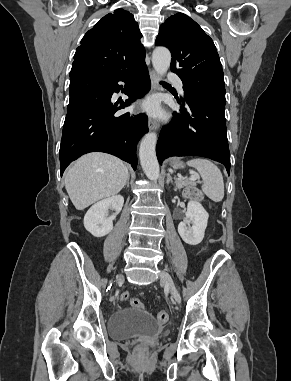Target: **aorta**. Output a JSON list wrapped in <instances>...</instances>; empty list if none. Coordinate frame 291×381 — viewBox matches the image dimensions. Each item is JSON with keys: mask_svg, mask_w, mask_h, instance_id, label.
<instances>
[{"mask_svg": "<svg viewBox=\"0 0 291 381\" xmlns=\"http://www.w3.org/2000/svg\"><path fill=\"white\" fill-rule=\"evenodd\" d=\"M171 54L165 47H156L152 54V64L156 73L161 77L170 67ZM157 135L154 132L146 134L140 143L139 158L141 166L150 180L159 177V164L156 157Z\"/></svg>", "mask_w": 291, "mask_h": 381, "instance_id": "aorta-1", "label": "aorta"}]
</instances>
